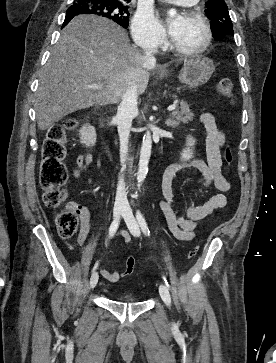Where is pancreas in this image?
Masks as SVG:
<instances>
[{
	"label": "pancreas",
	"instance_id": "obj_1",
	"mask_svg": "<svg viewBox=\"0 0 276 363\" xmlns=\"http://www.w3.org/2000/svg\"><path fill=\"white\" fill-rule=\"evenodd\" d=\"M172 116L176 119L177 124H179L181 122L187 123L188 121H192L194 114L186 102L180 101L177 110L172 112Z\"/></svg>",
	"mask_w": 276,
	"mask_h": 363
}]
</instances>
